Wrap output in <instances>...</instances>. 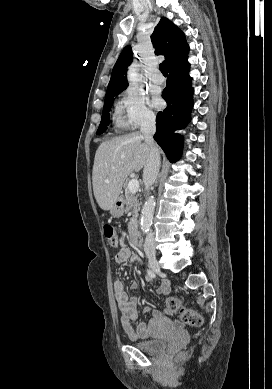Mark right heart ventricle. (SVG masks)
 <instances>
[{
	"label": "right heart ventricle",
	"mask_w": 272,
	"mask_h": 389,
	"mask_svg": "<svg viewBox=\"0 0 272 389\" xmlns=\"http://www.w3.org/2000/svg\"><path fill=\"white\" fill-rule=\"evenodd\" d=\"M116 117V124L118 127H124V124L118 119V114L115 115Z\"/></svg>",
	"instance_id": "1"
}]
</instances>
